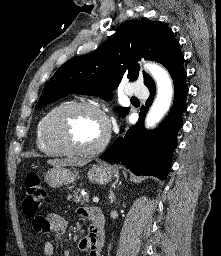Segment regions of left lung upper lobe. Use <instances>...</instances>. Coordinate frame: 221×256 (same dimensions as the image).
Returning <instances> with one entry per match:
<instances>
[{"instance_id": "obj_1", "label": "left lung upper lobe", "mask_w": 221, "mask_h": 256, "mask_svg": "<svg viewBox=\"0 0 221 256\" xmlns=\"http://www.w3.org/2000/svg\"><path fill=\"white\" fill-rule=\"evenodd\" d=\"M154 60L164 65L170 75L183 68L184 57L172 30L160 21H128L110 36L98 51L78 56L63 64L45 85L35 108L50 101L76 93L98 95L106 100L122 79L136 80L138 60ZM144 84L153 79L143 71ZM124 117L129 108H117Z\"/></svg>"}]
</instances>
